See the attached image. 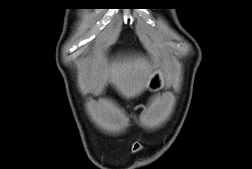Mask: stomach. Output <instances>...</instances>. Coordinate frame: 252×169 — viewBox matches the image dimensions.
<instances>
[{
    "mask_svg": "<svg viewBox=\"0 0 252 169\" xmlns=\"http://www.w3.org/2000/svg\"><path fill=\"white\" fill-rule=\"evenodd\" d=\"M162 85V76L160 73H155L150 80L149 87L158 89Z\"/></svg>",
    "mask_w": 252,
    "mask_h": 169,
    "instance_id": "1",
    "label": "stomach"
}]
</instances>
